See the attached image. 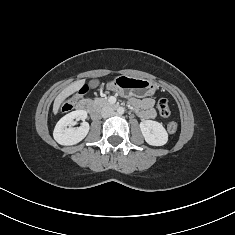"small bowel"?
Here are the masks:
<instances>
[{"label":"small bowel","instance_id":"1","mask_svg":"<svg viewBox=\"0 0 235 235\" xmlns=\"http://www.w3.org/2000/svg\"><path fill=\"white\" fill-rule=\"evenodd\" d=\"M131 104L138 110V115L142 119H153L156 116L154 111V100L152 98L137 99L132 98Z\"/></svg>","mask_w":235,"mask_h":235}]
</instances>
